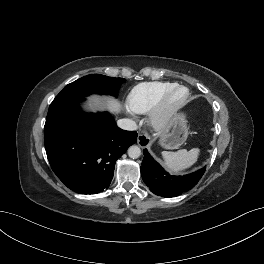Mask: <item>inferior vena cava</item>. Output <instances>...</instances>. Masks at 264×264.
<instances>
[{
    "label": "inferior vena cava",
    "instance_id": "inferior-vena-cava-1",
    "mask_svg": "<svg viewBox=\"0 0 264 264\" xmlns=\"http://www.w3.org/2000/svg\"><path fill=\"white\" fill-rule=\"evenodd\" d=\"M117 125L123 130L133 131L137 129L136 123L131 119H120L117 121Z\"/></svg>",
    "mask_w": 264,
    "mask_h": 264
}]
</instances>
